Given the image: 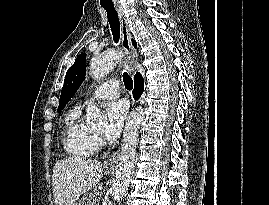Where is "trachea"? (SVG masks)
I'll use <instances>...</instances> for the list:
<instances>
[{
	"mask_svg": "<svg viewBox=\"0 0 269 205\" xmlns=\"http://www.w3.org/2000/svg\"><path fill=\"white\" fill-rule=\"evenodd\" d=\"M102 7L107 12V18L110 24L114 42L118 43L120 38V22L117 12L114 6L102 5ZM123 81L127 90H131L133 88L132 78L128 75L127 72L123 73Z\"/></svg>",
	"mask_w": 269,
	"mask_h": 205,
	"instance_id": "3493384b",
	"label": "trachea"
}]
</instances>
